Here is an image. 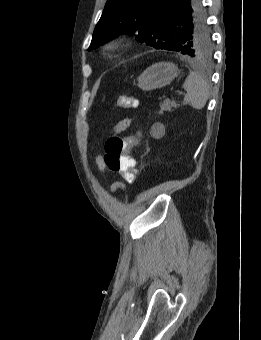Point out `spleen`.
Segmentation results:
<instances>
[{
  "instance_id": "1",
  "label": "spleen",
  "mask_w": 261,
  "mask_h": 340,
  "mask_svg": "<svg viewBox=\"0 0 261 340\" xmlns=\"http://www.w3.org/2000/svg\"><path fill=\"white\" fill-rule=\"evenodd\" d=\"M183 88L187 91L184 97L185 104L198 110L204 108L210 95V88L198 73L191 71L183 83Z\"/></svg>"
}]
</instances>
